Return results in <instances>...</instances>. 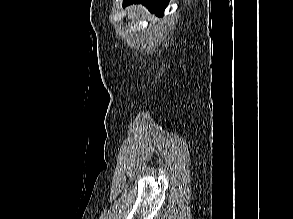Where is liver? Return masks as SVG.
Wrapping results in <instances>:
<instances>
[{
    "label": "liver",
    "mask_w": 293,
    "mask_h": 219,
    "mask_svg": "<svg viewBox=\"0 0 293 219\" xmlns=\"http://www.w3.org/2000/svg\"><path fill=\"white\" fill-rule=\"evenodd\" d=\"M128 10V18L133 19L135 16L142 14L147 15L146 9L141 5H133L127 8Z\"/></svg>",
    "instance_id": "obj_1"
}]
</instances>
